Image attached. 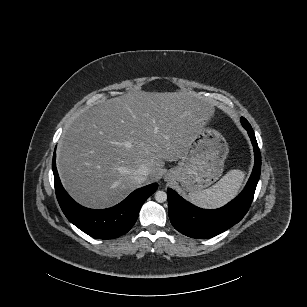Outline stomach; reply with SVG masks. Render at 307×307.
I'll use <instances>...</instances> for the list:
<instances>
[{"instance_id":"0dacf381","label":"stomach","mask_w":307,"mask_h":307,"mask_svg":"<svg viewBox=\"0 0 307 307\" xmlns=\"http://www.w3.org/2000/svg\"><path fill=\"white\" fill-rule=\"evenodd\" d=\"M230 147L225 136L215 127H200L178 165L167 173L187 192L201 191L220 179Z\"/></svg>"}]
</instances>
